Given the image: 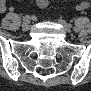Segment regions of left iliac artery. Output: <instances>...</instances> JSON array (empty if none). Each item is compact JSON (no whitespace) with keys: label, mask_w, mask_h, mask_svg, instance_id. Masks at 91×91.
Instances as JSON below:
<instances>
[{"label":"left iliac artery","mask_w":91,"mask_h":91,"mask_svg":"<svg viewBox=\"0 0 91 91\" xmlns=\"http://www.w3.org/2000/svg\"><path fill=\"white\" fill-rule=\"evenodd\" d=\"M68 27H69V28H73V27H74V24H73V23H69V24H68Z\"/></svg>","instance_id":"left-iliac-artery-1"}]
</instances>
